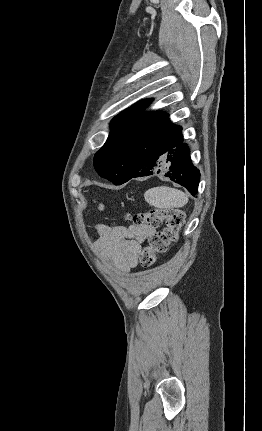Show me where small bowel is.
<instances>
[{
	"label": "small bowel",
	"instance_id": "small-bowel-1",
	"mask_svg": "<svg viewBox=\"0 0 262 431\" xmlns=\"http://www.w3.org/2000/svg\"><path fill=\"white\" fill-rule=\"evenodd\" d=\"M96 231L94 248L103 264H115L119 270L129 272L136 267L142 244L154 230L148 226L98 224Z\"/></svg>",
	"mask_w": 262,
	"mask_h": 431
}]
</instances>
